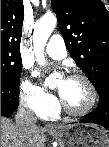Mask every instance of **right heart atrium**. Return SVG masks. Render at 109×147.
<instances>
[{"label": "right heart atrium", "mask_w": 109, "mask_h": 147, "mask_svg": "<svg viewBox=\"0 0 109 147\" xmlns=\"http://www.w3.org/2000/svg\"><path fill=\"white\" fill-rule=\"evenodd\" d=\"M20 100L22 104L38 115L54 108L56 103V99L52 95L27 78H24L20 84Z\"/></svg>", "instance_id": "d8ad5b80"}]
</instances>
